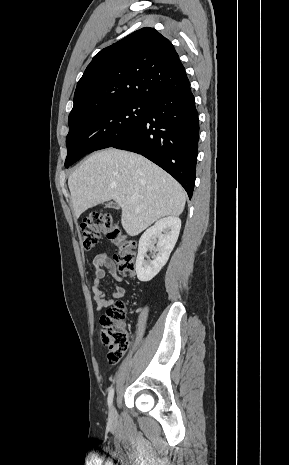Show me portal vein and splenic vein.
Listing matches in <instances>:
<instances>
[{
	"mask_svg": "<svg viewBox=\"0 0 289 465\" xmlns=\"http://www.w3.org/2000/svg\"><path fill=\"white\" fill-rule=\"evenodd\" d=\"M128 202H133L135 200V197H130V198H127Z\"/></svg>",
	"mask_w": 289,
	"mask_h": 465,
	"instance_id": "1",
	"label": "portal vein and splenic vein"
}]
</instances>
